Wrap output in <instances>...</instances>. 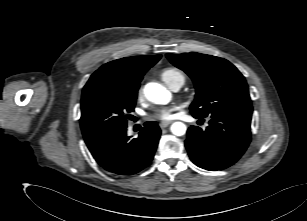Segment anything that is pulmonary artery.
I'll return each mask as SVG.
<instances>
[{"label": "pulmonary artery", "mask_w": 307, "mask_h": 221, "mask_svg": "<svg viewBox=\"0 0 307 221\" xmlns=\"http://www.w3.org/2000/svg\"><path fill=\"white\" fill-rule=\"evenodd\" d=\"M183 83L182 82H176L174 83L170 88L173 91H178L182 87Z\"/></svg>", "instance_id": "pulmonary-artery-1"}]
</instances>
